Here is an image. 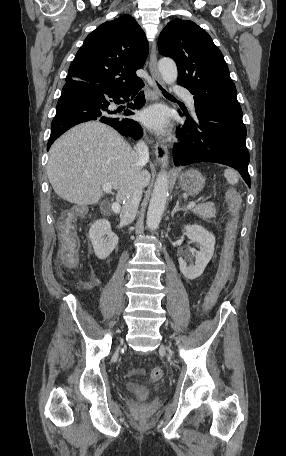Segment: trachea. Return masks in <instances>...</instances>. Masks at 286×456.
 <instances>
[{
  "mask_svg": "<svg viewBox=\"0 0 286 456\" xmlns=\"http://www.w3.org/2000/svg\"><path fill=\"white\" fill-rule=\"evenodd\" d=\"M159 88L162 90L163 94L167 97H173L171 94H169L168 92H166L159 84H158Z\"/></svg>",
  "mask_w": 286,
  "mask_h": 456,
  "instance_id": "trachea-1",
  "label": "trachea"
}]
</instances>
